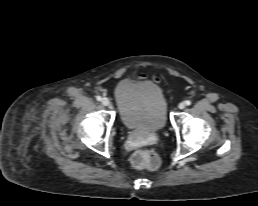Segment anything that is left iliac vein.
Returning a JSON list of instances; mask_svg holds the SVG:
<instances>
[{
  "mask_svg": "<svg viewBox=\"0 0 258 206\" xmlns=\"http://www.w3.org/2000/svg\"><path fill=\"white\" fill-rule=\"evenodd\" d=\"M186 104L184 102L179 103L178 107L179 109H184Z\"/></svg>",
  "mask_w": 258,
  "mask_h": 206,
  "instance_id": "obj_1",
  "label": "left iliac vein"
}]
</instances>
